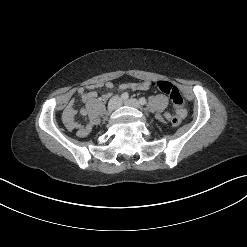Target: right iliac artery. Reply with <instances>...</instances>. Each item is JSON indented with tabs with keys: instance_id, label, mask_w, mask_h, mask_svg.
<instances>
[{
	"instance_id": "82829eb1",
	"label": "right iliac artery",
	"mask_w": 247,
	"mask_h": 247,
	"mask_svg": "<svg viewBox=\"0 0 247 247\" xmlns=\"http://www.w3.org/2000/svg\"><path fill=\"white\" fill-rule=\"evenodd\" d=\"M120 97H121V100H127L129 95H128V93L124 92V93L121 94Z\"/></svg>"
}]
</instances>
